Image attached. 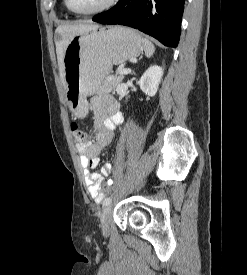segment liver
Listing matches in <instances>:
<instances>
[{
  "label": "liver",
  "instance_id": "obj_1",
  "mask_svg": "<svg viewBox=\"0 0 247 275\" xmlns=\"http://www.w3.org/2000/svg\"><path fill=\"white\" fill-rule=\"evenodd\" d=\"M98 27L99 26L96 24H89V23H80L75 25L66 24V25H60L57 27L55 33L59 37V39L56 40L55 42L56 54H57L60 77L65 89H66V83L64 78V64H63L65 49L67 48L70 40L73 37L88 33L92 30L97 29Z\"/></svg>",
  "mask_w": 247,
  "mask_h": 275
}]
</instances>
